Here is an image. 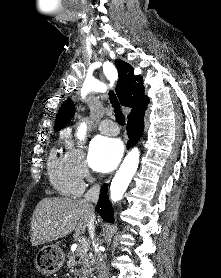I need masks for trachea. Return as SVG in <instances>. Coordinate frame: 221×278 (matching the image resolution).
Instances as JSON below:
<instances>
[{"label": "trachea", "mask_w": 221, "mask_h": 278, "mask_svg": "<svg viewBox=\"0 0 221 278\" xmlns=\"http://www.w3.org/2000/svg\"><path fill=\"white\" fill-rule=\"evenodd\" d=\"M109 100L112 104V107L114 109L116 121L119 125L124 126L125 125V116L121 111L119 101L114 93V91L109 92Z\"/></svg>", "instance_id": "obj_1"}]
</instances>
